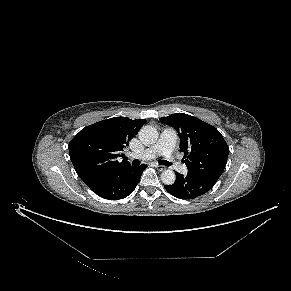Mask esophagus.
<instances>
[{
  "instance_id": "1",
  "label": "esophagus",
  "mask_w": 291,
  "mask_h": 291,
  "mask_svg": "<svg viewBox=\"0 0 291 291\" xmlns=\"http://www.w3.org/2000/svg\"><path fill=\"white\" fill-rule=\"evenodd\" d=\"M156 168H157L159 171H163V170L166 169L165 166H163V165H159V164H156Z\"/></svg>"
}]
</instances>
